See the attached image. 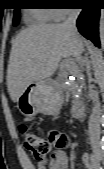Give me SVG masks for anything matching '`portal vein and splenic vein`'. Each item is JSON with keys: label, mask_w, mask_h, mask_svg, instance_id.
<instances>
[{"label": "portal vein and splenic vein", "mask_w": 104, "mask_h": 169, "mask_svg": "<svg viewBox=\"0 0 104 169\" xmlns=\"http://www.w3.org/2000/svg\"><path fill=\"white\" fill-rule=\"evenodd\" d=\"M66 68L69 70L70 73L76 74L77 72V66L74 63H67Z\"/></svg>", "instance_id": "portal-vein-and-splenic-vein-1"}]
</instances>
